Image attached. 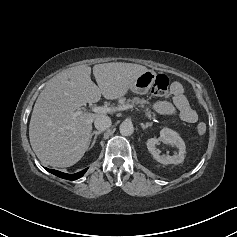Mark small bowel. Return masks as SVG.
Listing matches in <instances>:
<instances>
[{
  "instance_id": "1",
  "label": "small bowel",
  "mask_w": 237,
  "mask_h": 237,
  "mask_svg": "<svg viewBox=\"0 0 237 237\" xmlns=\"http://www.w3.org/2000/svg\"><path fill=\"white\" fill-rule=\"evenodd\" d=\"M171 92L173 95L172 102H156L153 105V109L159 114H178V116L186 123H196L198 120L197 112L191 107L185 97L182 85L178 82H174L171 86Z\"/></svg>"
}]
</instances>
